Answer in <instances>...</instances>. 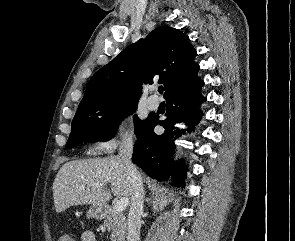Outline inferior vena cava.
I'll use <instances>...</instances> for the list:
<instances>
[{"label": "inferior vena cava", "mask_w": 295, "mask_h": 241, "mask_svg": "<svg viewBox=\"0 0 295 241\" xmlns=\"http://www.w3.org/2000/svg\"><path fill=\"white\" fill-rule=\"evenodd\" d=\"M133 153V140L126 138L119 147L118 158L127 168L132 183L131 207L127 222V241H139L141 216L143 214L144 187L142 176L131 161Z\"/></svg>", "instance_id": "1"}]
</instances>
